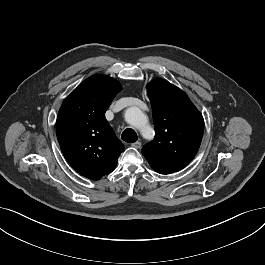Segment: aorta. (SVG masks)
I'll use <instances>...</instances> for the list:
<instances>
[{
    "instance_id": "obj_1",
    "label": "aorta",
    "mask_w": 265,
    "mask_h": 265,
    "mask_svg": "<svg viewBox=\"0 0 265 265\" xmlns=\"http://www.w3.org/2000/svg\"><path fill=\"white\" fill-rule=\"evenodd\" d=\"M125 120L137 127L143 135L151 131V128L146 124H142L145 120V115L138 107H130L125 111Z\"/></svg>"
}]
</instances>
